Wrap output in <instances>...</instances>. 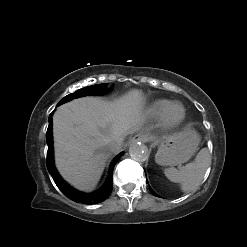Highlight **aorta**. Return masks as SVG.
I'll return each instance as SVG.
<instances>
[{
	"instance_id": "762f6f07",
	"label": "aorta",
	"mask_w": 247,
	"mask_h": 247,
	"mask_svg": "<svg viewBox=\"0 0 247 247\" xmlns=\"http://www.w3.org/2000/svg\"><path fill=\"white\" fill-rule=\"evenodd\" d=\"M129 154L133 160L144 161L147 158V150L140 142H133L129 147Z\"/></svg>"
}]
</instances>
